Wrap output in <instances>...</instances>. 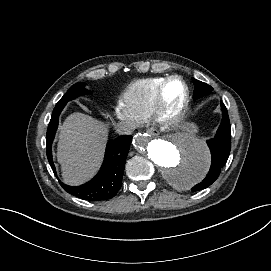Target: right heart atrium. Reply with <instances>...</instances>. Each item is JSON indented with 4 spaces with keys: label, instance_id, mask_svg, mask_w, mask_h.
Returning a JSON list of instances; mask_svg holds the SVG:
<instances>
[{
    "label": "right heart atrium",
    "instance_id": "obj_1",
    "mask_svg": "<svg viewBox=\"0 0 271 271\" xmlns=\"http://www.w3.org/2000/svg\"><path fill=\"white\" fill-rule=\"evenodd\" d=\"M115 113L117 115V117L122 118V119H133L129 113L126 111V109L124 108V106L119 103L115 106Z\"/></svg>",
    "mask_w": 271,
    "mask_h": 271
}]
</instances>
